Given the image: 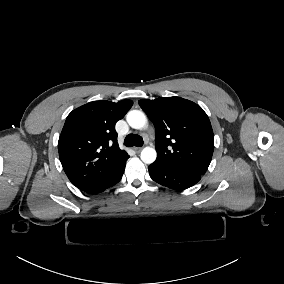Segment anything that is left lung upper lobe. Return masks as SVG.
<instances>
[{
  "mask_svg": "<svg viewBox=\"0 0 284 284\" xmlns=\"http://www.w3.org/2000/svg\"><path fill=\"white\" fill-rule=\"evenodd\" d=\"M138 103L155 126V162L203 175L214 150L213 130L204 110L181 97L142 99Z\"/></svg>",
  "mask_w": 284,
  "mask_h": 284,
  "instance_id": "1",
  "label": "left lung upper lobe"
}]
</instances>
